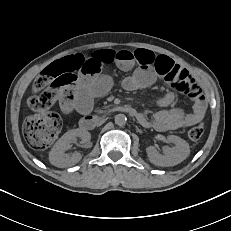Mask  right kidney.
<instances>
[{
	"mask_svg": "<svg viewBox=\"0 0 231 231\" xmlns=\"http://www.w3.org/2000/svg\"><path fill=\"white\" fill-rule=\"evenodd\" d=\"M77 138L82 140V143L90 141L91 135L88 131L81 129H72L67 131L53 146L49 153V161L52 165L57 167H67L78 163L82 156L80 153H73L68 155L65 153L70 147L71 143H75Z\"/></svg>",
	"mask_w": 231,
	"mask_h": 231,
	"instance_id": "right-kidney-1",
	"label": "right kidney"
}]
</instances>
